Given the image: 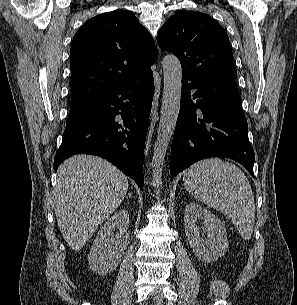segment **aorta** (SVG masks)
I'll list each match as a JSON object with an SVG mask.
<instances>
[{"label": "aorta", "instance_id": "aorta-1", "mask_svg": "<svg viewBox=\"0 0 297 305\" xmlns=\"http://www.w3.org/2000/svg\"><path fill=\"white\" fill-rule=\"evenodd\" d=\"M164 75V90L157 140L152 157V183L161 184L164 157L173 136L180 110L182 67L179 59L173 54H167L162 62Z\"/></svg>", "mask_w": 297, "mask_h": 305}]
</instances>
